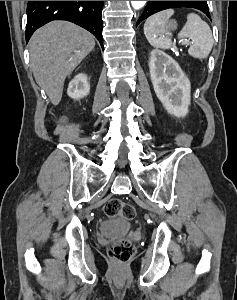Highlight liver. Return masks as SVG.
Listing matches in <instances>:
<instances>
[{
    "mask_svg": "<svg viewBox=\"0 0 237 300\" xmlns=\"http://www.w3.org/2000/svg\"><path fill=\"white\" fill-rule=\"evenodd\" d=\"M94 47L93 35L68 21H52L32 35L31 69L37 85L44 89L52 105H59L66 77Z\"/></svg>",
    "mask_w": 237,
    "mask_h": 300,
    "instance_id": "1",
    "label": "liver"
}]
</instances>
